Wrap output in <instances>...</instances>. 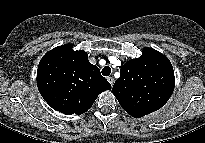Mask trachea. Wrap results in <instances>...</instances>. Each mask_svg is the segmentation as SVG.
I'll return each instance as SVG.
<instances>
[{"instance_id": "obj_1", "label": "trachea", "mask_w": 205, "mask_h": 143, "mask_svg": "<svg viewBox=\"0 0 205 143\" xmlns=\"http://www.w3.org/2000/svg\"><path fill=\"white\" fill-rule=\"evenodd\" d=\"M110 73H111V68H110V67L105 66V67L102 69V74H103L104 76H109Z\"/></svg>"}]
</instances>
